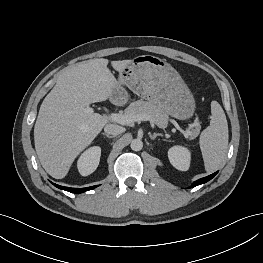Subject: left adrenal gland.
I'll return each mask as SVG.
<instances>
[{"label": "left adrenal gland", "instance_id": "a2214340", "mask_svg": "<svg viewBox=\"0 0 263 263\" xmlns=\"http://www.w3.org/2000/svg\"><path fill=\"white\" fill-rule=\"evenodd\" d=\"M152 140H155L157 136H163L161 133H153L149 135Z\"/></svg>", "mask_w": 263, "mask_h": 263}]
</instances>
